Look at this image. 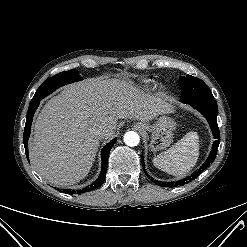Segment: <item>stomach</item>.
<instances>
[{"label": "stomach", "mask_w": 247, "mask_h": 247, "mask_svg": "<svg viewBox=\"0 0 247 247\" xmlns=\"http://www.w3.org/2000/svg\"><path fill=\"white\" fill-rule=\"evenodd\" d=\"M136 126L151 132L150 148L151 151L156 152L170 146L176 122L170 117L161 116L153 125L139 122Z\"/></svg>", "instance_id": "obj_1"}]
</instances>
